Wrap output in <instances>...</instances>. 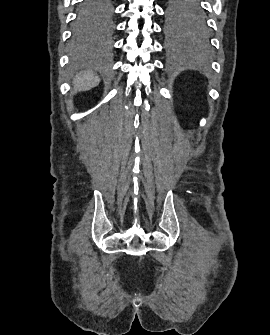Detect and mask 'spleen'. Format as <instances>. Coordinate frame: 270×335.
Listing matches in <instances>:
<instances>
[{
  "instance_id": "spleen-1",
  "label": "spleen",
  "mask_w": 270,
  "mask_h": 335,
  "mask_svg": "<svg viewBox=\"0 0 270 335\" xmlns=\"http://www.w3.org/2000/svg\"><path fill=\"white\" fill-rule=\"evenodd\" d=\"M185 60L186 62H196L197 60L196 52H193V54H185Z\"/></svg>"
}]
</instances>
